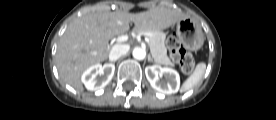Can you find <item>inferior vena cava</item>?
<instances>
[{"label":"inferior vena cava","instance_id":"602c4592","mask_svg":"<svg viewBox=\"0 0 276 120\" xmlns=\"http://www.w3.org/2000/svg\"><path fill=\"white\" fill-rule=\"evenodd\" d=\"M129 50H130V46L127 44H116L112 47L110 51L109 60L116 61L121 56L126 55Z\"/></svg>","mask_w":276,"mask_h":120}]
</instances>
